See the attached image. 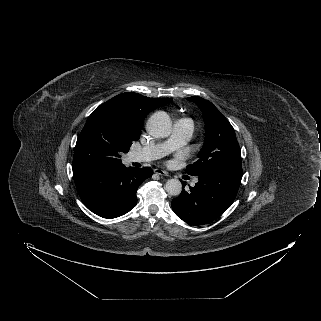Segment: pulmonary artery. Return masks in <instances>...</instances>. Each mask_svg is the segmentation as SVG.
Returning a JSON list of instances; mask_svg holds the SVG:
<instances>
[{"mask_svg": "<svg viewBox=\"0 0 321 321\" xmlns=\"http://www.w3.org/2000/svg\"><path fill=\"white\" fill-rule=\"evenodd\" d=\"M193 131L194 124L190 119H178L174 124L173 133L168 140L132 151L130 154V160L143 162L160 159L185 145L191 139ZM195 182L196 180L193 184Z\"/></svg>", "mask_w": 321, "mask_h": 321, "instance_id": "pulmonary-artery-1", "label": "pulmonary artery"}]
</instances>
